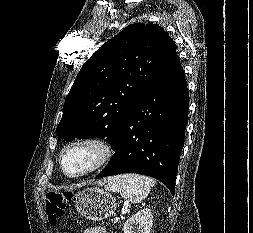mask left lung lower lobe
<instances>
[{
	"mask_svg": "<svg viewBox=\"0 0 253 233\" xmlns=\"http://www.w3.org/2000/svg\"><path fill=\"white\" fill-rule=\"evenodd\" d=\"M189 95L175 54L122 124L115 151L96 178L137 173L158 179L172 194L188 122Z\"/></svg>",
	"mask_w": 253,
	"mask_h": 233,
	"instance_id": "0a47b994",
	"label": "left lung lower lobe"
}]
</instances>
